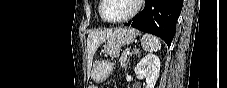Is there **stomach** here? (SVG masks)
Here are the masks:
<instances>
[{
  "mask_svg": "<svg viewBox=\"0 0 227 88\" xmlns=\"http://www.w3.org/2000/svg\"><path fill=\"white\" fill-rule=\"evenodd\" d=\"M137 35L138 31L130 27L116 29L105 42V52L111 56L118 55L121 47L134 42ZM111 71L112 65L110 62L97 61L93 65L91 78L95 82H103L108 78Z\"/></svg>",
  "mask_w": 227,
  "mask_h": 88,
  "instance_id": "1",
  "label": "stomach"
}]
</instances>
